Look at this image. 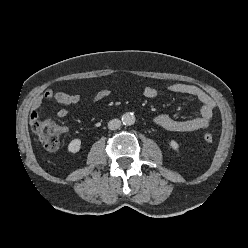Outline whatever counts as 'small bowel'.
<instances>
[{"mask_svg": "<svg viewBox=\"0 0 248 248\" xmlns=\"http://www.w3.org/2000/svg\"><path fill=\"white\" fill-rule=\"evenodd\" d=\"M165 89L172 93L185 94L196 98L201 104L200 115L190 120H175L166 114H159L153 118L154 124L169 132H194L205 130L209 127L213 111L215 108L214 100L201 88L184 83H171L165 85ZM110 94L107 88L98 91L92 98L93 103H98L106 99ZM159 91L153 86H146L143 95L148 99H154ZM50 100L60 105L57 116L64 118L68 115V107L80 102L81 96L77 93H66L61 91L46 90L34 99L31 105L30 121L34 124L39 119L40 111L44 100Z\"/></svg>", "mask_w": 248, "mask_h": 248, "instance_id": "c3829d8e", "label": "small bowel"}]
</instances>
